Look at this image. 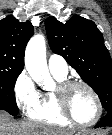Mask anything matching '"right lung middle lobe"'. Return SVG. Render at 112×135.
Wrapping results in <instances>:
<instances>
[{
    "label": "right lung middle lobe",
    "instance_id": "right-lung-middle-lobe-1",
    "mask_svg": "<svg viewBox=\"0 0 112 135\" xmlns=\"http://www.w3.org/2000/svg\"><path fill=\"white\" fill-rule=\"evenodd\" d=\"M21 72H0V109L16 116L18 107L14 95V86Z\"/></svg>",
    "mask_w": 112,
    "mask_h": 135
}]
</instances>
